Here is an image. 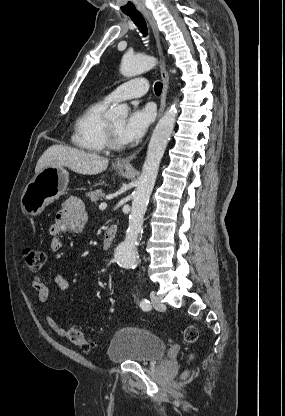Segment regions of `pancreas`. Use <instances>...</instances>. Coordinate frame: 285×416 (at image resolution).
Wrapping results in <instances>:
<instances>
[{"label":"pancreas","mask_w":285,"mask_h":416,"mask_svg":"<svg viewBox=\"0 0 285 416\" xmlns=\"http://www.w3.org/2000/svg\"><path fill=\"white\" fill-rule=\"evenodd\" d=\"M87 198H90L91 202H97V200H102L105 194L103 190H95V192H87Z\"/></svg>","instance_id":"pancreas-1"}]
</instances>
